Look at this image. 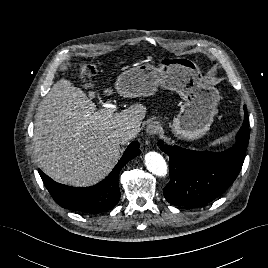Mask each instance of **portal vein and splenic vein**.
I'll use <instances>...</instances> for the list:
<instances>
[{"mask_svg":"<svg viewBox=\"0 0 268 268\" xmlns=\"http://www.w3.org/2000/svg\"><path fill=\"white\" fill-rule=\"evenodd\" d=\"M115 109L113 107H106L96 113L98 119L109 118L114 114Z\"/></svg>","mask_w":268,"mask_h":268,"instance_id":"obj_1","label":"portal vein and splenic vein"}]
</instances>
